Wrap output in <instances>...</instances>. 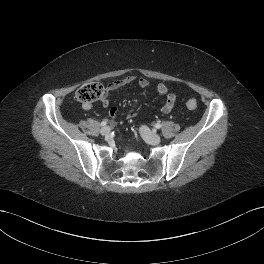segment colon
<instances>
[{
    "instance_id": "1",
    "label": "colon",
    "mask_w": 264,
    "mask_h": 264,
    "mask_svg": "<svg viewBox=\"0 0 264 264\" xmlns=\"http://www.w3.org/2000/svg\"><path fill=\"white\" fill-rule=\"evenodd\" d=\"M104 94L105 89L101 83L91 82L81 86L76 92V97L83 104H91L102 99ZM186 106L188 109L194 110L197 108V102L194 99H189Z\"/></svg>"
}]
</instances>
